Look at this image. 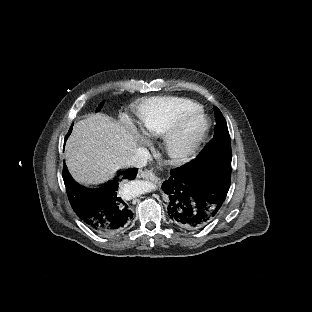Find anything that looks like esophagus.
<instances>
[{
    "instance_id": "esophagus-1",
    "label": "esophagus",
    "mask_w": 312,
    "mask_h": 312,
    "mask_svg": "<svg viewBox=\"0 0 312 312\" xmlns=\"http://www.w3.org/2000/svg\"><path fill=\"white\" fill-rule=\"evenodd\" d=\"M137 178L149 180L155 184H157L159 182V178L154 174V172H152L150 170H139L137 173Z\"/></svg>"
}]
</instances>
